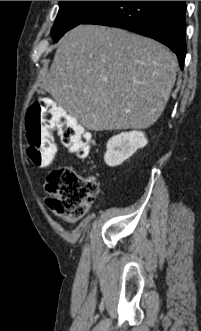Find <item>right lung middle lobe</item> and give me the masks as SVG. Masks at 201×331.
Here are the masks:
<instances>
[{"instance_id":"obj_1","label":"right lung middle lobe","mask_w":201,"mask_h":331,"mask_svg":"<svg viewBox=\"0 0 201 331\" xmlns=\"http://www.w3.org/2000/svg\"><path fill=\"white\" fill-rule=\"evenodd\" d=\"M109 1H60L59 12L52 27L53 40L59 38L68 30L82 24Z\"/></svg>"}]
</instances>
